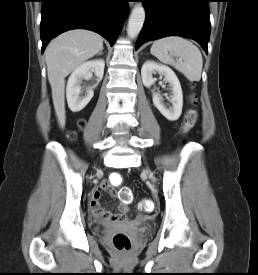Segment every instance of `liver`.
Returning <instances> with one entry per match:
<instances>
[{
    "label": "liver",
    "mask_w": 258,
    "mask_h": 275,
    "mask_svg": "<svg viewBox=\"0 0 258 275\" xmlns=\"http://www.w3.org/2000/svg\"><path fill=\"white\" fill-rule=\"evenodd\" d=\"M103 49V38L88 30L65 32L48 45L45 51L48 80L59 126H65V77L79 65Z\"/></svg>",
    "instance_id": "liver-1"
}]
</instances>
